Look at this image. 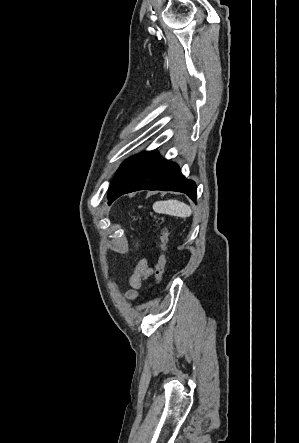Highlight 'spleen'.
<instances>
[{
    "instance_id": "obj_1",
    "label": "spleen",
    "mask_w": 299,
    "mask_h": 443,
    "mask_svg": "<svg viewBox=\"0 0 299 443\" xmlns=\"http://www.w3.org/2000/svg\"><path fill=\"white\" fill-rule=\"evenodd\" d=\"M153 210L159 214H167L177 217H189L192 214L190 206L178 200L155 202L153 204Z\"/></svg>"
}]
</instances>
